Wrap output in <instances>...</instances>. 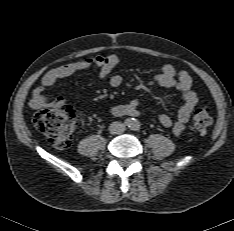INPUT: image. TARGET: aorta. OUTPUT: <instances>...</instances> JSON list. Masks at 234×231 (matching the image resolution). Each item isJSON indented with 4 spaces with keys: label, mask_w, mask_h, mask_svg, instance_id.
I'll list each match as a JSON object with an SVG mask.
<instances>
[{
    "label": "aorta",
    "mask_w": 234,
    "mask_h": 231,
    "mask_svg": "<svg viewBox=\"0 0 234 231\" xmlns=\"http://www.w3.org/2000/svg\"><path fill=\"white\" fill-rule=\"evenodd\" d=\"M128 126L131 130H139L140 122L137 119H130L128 122Z\"/></svg>",
    "instance_id": "1"
}]
</instances>
